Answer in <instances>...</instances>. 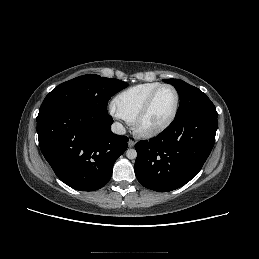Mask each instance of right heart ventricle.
Returning a JSON list of instances; mask_svg holds the SVG:
<instances>
[{
  "label": "right heart ventricle",
  "mask_w": 259,
  "mask_h": 259,
  "mask_svg": "<svg viewBox=\"0 0 259 259\" xmlns=\"http://www.w3.org/2000/svg\"><path fill=\"white\" fill-rule=\"evenodd\" d=\"M161 83L147 82L121 91L113 101L114 109L127 122H133L151 92Z\"/></svg>",
  "instance_id": "e07e8e85"
}]
</instances>
